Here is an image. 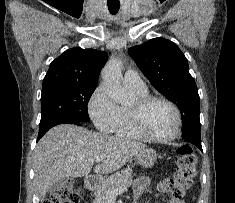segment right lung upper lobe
<instances>
[{
    "label": "right lung upper lobe",
    "mask_w": 235,
    "mask_h": 203,
    "mask_svg": "<svg viewBox=\"0 0 235 203\" xmlns=\"http://www.w3.org/2000/svg\"><path fill=\"white\" fill-rule=\"evenodd\" d=\"M107 59L103 51L68 49L51 62L42 87L61 83L97 84L100 70Z\"/></svg>",
    "instance_id": "cb5924a9"
}]
</instances>
